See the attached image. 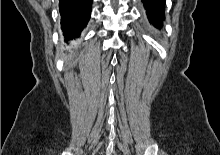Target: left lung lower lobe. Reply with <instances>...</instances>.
Wrapping results in <instances>:
<instances>
[{
	"mask_svg": "<svg viewBox=\"0 0 220 155\" xmlns=\"http://www.w3.org/2000/svg\"><path fill=\"white\" fill-rule=\"evenodd\" d=\"M142 2L144 3L150 23L157 28H161L162 21L165 18V0H142Z\"/></svg>",
	"mask_w": 220,
	"mask_h": 155,
	"instance_id": "obj_1",
	"label": "left lung lower lobe"
}]
</instances>
